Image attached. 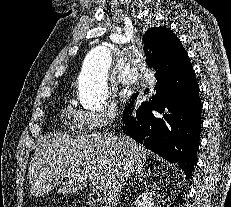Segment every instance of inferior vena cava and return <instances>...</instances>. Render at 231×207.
Here are the masks:
<instances>
[{"label": "inferior vena cava", "instance_id": "602c4592", "mask_svg": "<svg viewBox=\"0 0 231 207\" xmlns=\"http://www.w3.org/2000/svg\"><path fill=\"white\" fill-rule=\"evenodd\" d=\"M112 139L116 142L118 137L116 135H111Z\"/></svg>", "mask_w": 231, "mask_h": 207}]
</instances>
